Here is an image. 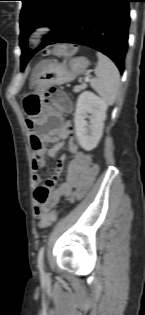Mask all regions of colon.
<instances>
[{
  "label": "colon",
  "mask_w": 145,
  "mask_h": 315,
  "mask_svg": "<svg viewBox=\"0 0 145 315\" xmlns=\"http://www.w3.org/2000/svg\"><path fill=\"white\" fill-rule=\"evenodd\" d=\"M77 51V48L75 45L72 44H64L61 46H58L55 49V53L64 56V57H70L73 56ZM46 99L48 101H51L53 105H55L57 108H59L62 111H67L71 108V102L68 98L67 94L59 89H52L49 91L46 95ZM57 217V211H52L47 213L42 220L40 221V227L46 228L50 226Z\"/></svg>",
  "instance_id": "5ec220e1"
}]
</instances>
